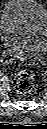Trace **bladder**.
<instances>
[{
  "instance_id": "1",
  "label": "bladder",
  "mask_w": 47,
  "mask_h": 129,
  "mask_svg": "<svg viewBox=\"0 0 47 129\" xmlns=\"http://www.w3.org/2000/svg\"><path fill=\"white\" fill-rule=\"evenodd\" d=\"M47 11L36 0H10L1 12L0 40L4 49L20 58H33L46 48Z\"/></svg>"
}]
</instances>
